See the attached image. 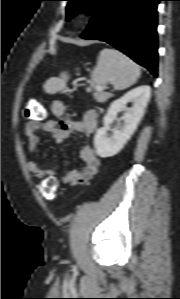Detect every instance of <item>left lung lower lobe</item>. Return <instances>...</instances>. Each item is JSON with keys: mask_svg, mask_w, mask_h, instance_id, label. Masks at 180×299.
Segmentation results:
<instances>
[{"mask_svg": "<svg viewBox=\"0 0 180 299\" xmlns=\"http://www.w3.org/2000/svg\"><path fill=\"white\" fill-rule=\"evenodd\" d=\"M159 1L101 0L81 38L109 43L157 77Z\"/></svg>", "mask_w": 180, "mask_h": 299, "instance_id": "0a47b994", "label": "left lung lower lobe"}]
</instances>
